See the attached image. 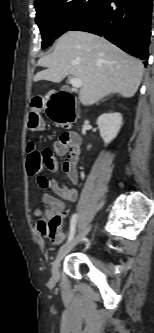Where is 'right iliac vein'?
Returning a JSON list of instances; mask_svg holds the SVG:
<instances>
[{
  "instance_id": "obj_1",
  "label": "right iliac vein",
  "mask_w": 154,
  "mask_h": 333,
  "mask_svg": "<svg viewBox=\"0 0 154 333\" xmlns=\"http://www.w3.org/2000/svg\"><path fill=\"white\" fill-rule=\"evenodd\" d=\"M91 229V225H89L88 227H86L83 231H81L80 233H78L74 238H72L67 244H65L64 246H62L60 248V250L58 251V254L56 256V259L54 260V262L52 263V268H51V272H52V278L53 279H58L59 276V265L61 260L79 243L81 242L86 235L88 234V232Z\"/></svg>"
}]
</instances>
